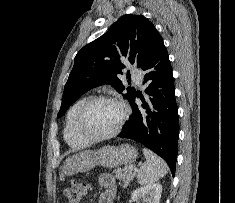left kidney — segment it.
Masks as SVG:
<instances>
[{"instance_id": "1", "label": "left kidney", "mask_w": 235, "mask_h": 203, "mask_svg": "<svg viewBox=\"0 0 235 203\" xmlns=\"http://www.w3.org/2000/svg\"><path fill=\"white\" fill-rule=\"evenodd\" d=\"M162 185L159 183L149 184L133 191L131 199L135 203H160Z\"/></svg>"}]
</instances>
